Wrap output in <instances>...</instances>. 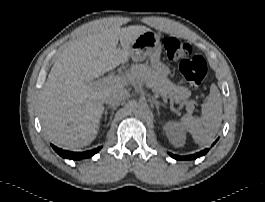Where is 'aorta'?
Wrapping results in <instances>:
<instances>
[{"mask_svg":"<svg viewBox=\"0 0 265 202\" xmlns=\"http://www.w3.org/2000/svg\"><path fill=\"white\" fill-rule=\"evenodd\" d=\"M134 113L139 116V117H144L145 115L148 114L149 112V108L147 106V104L141 102V103H137L134 108H133Z\"/></svg>","mask_w":265,"mask_h":202,"instance_id":"1","label":"aorta"}]
</instances>
